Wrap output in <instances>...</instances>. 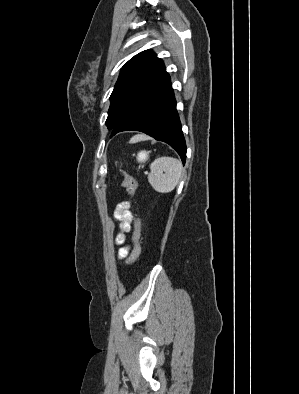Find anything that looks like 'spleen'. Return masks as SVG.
I'll return each instance as SVG.
<instances>
[{
    "label": "spleen",
    "instance_id": "1",
    "mask_svg": "<svg viewBox=\"0 0 299 394\" xmlns=\"http://www.w3.org/2000/svg\"><path fill=\"white\" fill-rule=\"evenodd\" d=\"M148 181L158 193H169L179 183L182 164L172 157H160L150 164Z\"/></svg>",
    "mask_w": 299,
    "mask_h": 394
}]
</instances>
